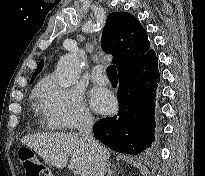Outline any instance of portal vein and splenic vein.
<instances>
[{
    "mask_svg": "<svg viewBox=\"0 0 205 176\" xmlns=\"http://www.w3.org/2000/svg\"><path fill=\"white\" fill-rule=\"evenodd\" d=\"M81 176H88V174H86V173H82Z\"/></svg>",
    "mask_w": 205,
    "mask_h": 176,
    "instance_id": "18ae733b",
    "label": "portal vein and splenic vein"
}]
</instances>
